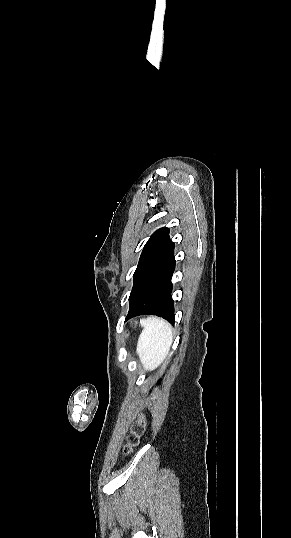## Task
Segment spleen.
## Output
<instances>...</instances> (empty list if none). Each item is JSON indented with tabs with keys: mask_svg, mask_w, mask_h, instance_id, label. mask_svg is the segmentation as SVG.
Returning <instances> with one entry per match:
<instances>
[{
	"mask_svg": "<svg viewBox=\"0 0 291 538\" xmlns=\"http://www.w3.org/2000/svg\"><path fill=\"white\" fill-rule=\"evenodd\" d=\"M143 331L137 344V354L145 370L157 368L166 358L173 342L172 327L158 318L141 321Z\"/></svg>",
	"mask_w": 291,
	"mask_h": 538,
	"instance_id": "spleen-1",
	"label": "spleen"
}]
</instances>
